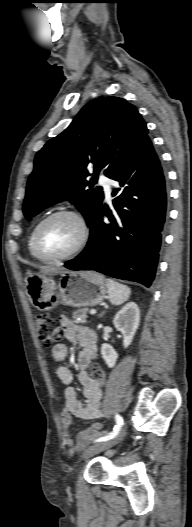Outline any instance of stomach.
<instances>
[{"instance_id": "obj_1", "label": "stomach", "mask_w": 192, "mask_h": 527, "mask_svg": "<svg viewBox=\"0 0 192 527\" xmlns=\"http://www.w3.org/2000/svg\"><path fill=\"white\" fill-rule=\"evenodd\" d=\"M26 291L36 309L49 311L59 304L97 305L105 299L107 288L103 276L94 271H69L62 273L58 281L51 276L30 275L26 279Z\"/></svg>"}]
</instances>
